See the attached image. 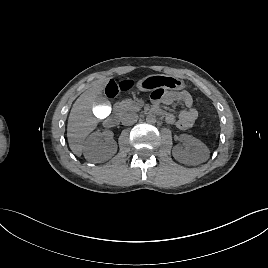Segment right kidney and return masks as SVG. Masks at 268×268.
I'll return each instance as SVG.
<instances>
[{
  "mask_svg": "<svg viewBox=\"0 0 268 268\" xmlns=\"http://www.w3.org/2000/svg\"><path fill=\"white\" fill-rule=\"evenodd\" d=\"M100 131L92 133L83 146L84 157L87 161L101 163L110 159L117 152V143L113 139L102 141Z\"/></svg>",
  "mask_w": 268,
  "mask_h": 268,
  "instance_id": "ca27d5eb",
  "label": "right kidney"
}]
</instances>
